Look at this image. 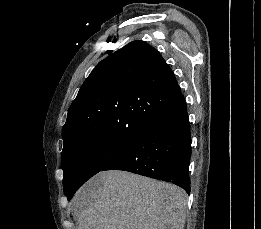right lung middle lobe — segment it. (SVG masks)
<instances>
[{
  "instance_id": "obj_1",
  "label": "right lung middle lobe",
  "mask_w": 261,
  "mask_h": 229,
  "mask_svg": "<svg viewBox=\"0 0 261 229\" xmlns=\"http://www.w3.org/2000/svg\"><path fill=\"white\" fill-rule=\"evenodd\" d=\"M131 142L84 139L63 147V187L70 199L89 178L125 151Z\"/></svg>"
}]
</instances>
